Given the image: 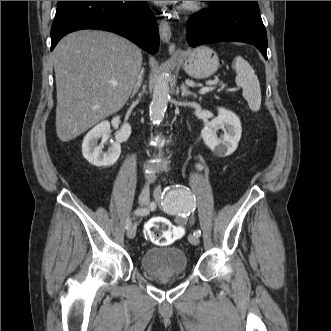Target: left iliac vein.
Returning <instances> with one entry per match:
<instances>
[{
    "label": "left iliac vein",
    "mask_w": 331,
    "mask_h": 331,
    "mask_svg": "<svg viewBox=\"0 0 331 331\" xmlns=\"http://www.w3.org/2000/svg\"><path fill=\"white\" fill-rule=\"evenodd\" d=\"M159 189V187H157V190ZM188 241L192 244V245H198L199 244V237L194 235V234H189L188 235Z\"/></svg>",
    "instance_id": "left-iliac-vein-1"
}]
</instances>
